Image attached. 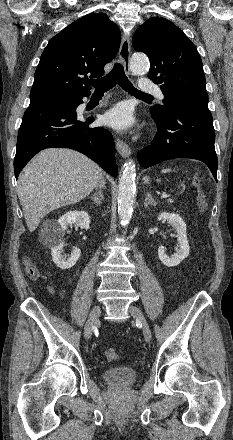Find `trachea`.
I'll list each match as a JSON object with an SVG mask.
<instances>
[{
  "mask_svg": "<svg viewBox=\"0 0 233 440\" xmlns=\"http://www.w3.org/2000/svg\"><path fill=\"white\" fill-rule=\"evenodd\" d=\"M89 84L95 88V91L98 92H105L111 88H113L116 84H119V86L127 91L128 93L140 96V97H153L149 94H146L144 92H141L140 90H137L134 88L132 83L128 80L127 76L124 72L123 65L116 63L106 76L97 79L89 81Z\"/></svg>",
  "mask_w": 233,
  "mask_h": 440,
  "instance_id": "3493384b",
  "label": "trachea"
}]
</instances>
